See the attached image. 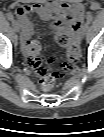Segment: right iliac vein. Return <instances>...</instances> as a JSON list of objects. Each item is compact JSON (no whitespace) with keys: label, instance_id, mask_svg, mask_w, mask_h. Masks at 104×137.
I'll use <instances>...</instances> for the list:
<instances>
[{"label":"right iliac vein","instance_id":"63e3f726","mask_svg":"<svg viewBox=\"0 0 104 137\" xmlns=\"http://www.w3.org/2000/svg\"><path fill=\"white\" fill-rule=\"evenodd\" d=\"M13 27L16 32H20V25L16 20L13 21Z\"/></svg>","mask_w":104,"mask_h":137}]
</instances>
